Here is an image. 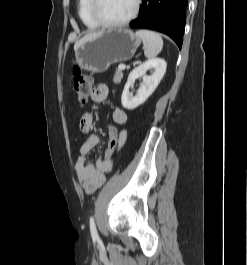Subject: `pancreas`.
<instances>
[{
  "label": "pancreas",
  "instance_id": "obj_1",
  "mask_svg": "<svg viewBox=\"0 0 247 265\" xmlns=\"http://www.w3.org/2000/svg\"><path fill=\"white\" fill-rule=\"evenodd\" d=\"M123 78V73L121 70H116L113 81L114 83H120Z\"/></svg>",
  "mask_w": 247,
  "mask_h": 265
}]
</instances>
